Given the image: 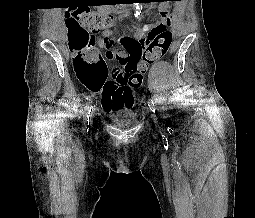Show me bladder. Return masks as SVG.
Returning <instances> with one entry per match:
<instances>
[{
    "instance_id": "bladder-1",
    "label": "bladder",
    "mask_w": 255,
    "mask_h": 218,
    "mask_svg": "<svg viewBox=\"0 0 255 218\" xmlns=\"http://www.w3.org/2000/svg\"><path fill=\"white\" fill-rule=\"evenodd\" d=\"M113 119L114 121L120 123L123 127H129L135 122V116L130 113L116 115Z\"/></svg>"
}]
</instances>
